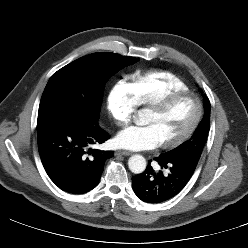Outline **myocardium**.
I'll list each match as a JSON object with an SVG mask.
<instances>
[{
    "label": "myocardium",
    "instance_id": "myocardium-1",
    "mask_svg": "<svg viewBox=\"0 0 248 248\" xmlns=\"http://www.w3.org/2000/svg\"><path fill=\"white\" fill-rule=\"evenodd\" d=\"M185 97L193 98L196 103V113L193 118V121L191 122L190 126L179 137L172 139V140L161 142L160 146L162 148L177 147L181 145L182 143H184L186 140H188L192 136V134L197 129L201 121L202 115H203V102L201 98L193 92L175 91V92H171V93H168L162 96L161 98H159L158 100H156L155 102H153L152 104L148 106V110L162 112L166 110L175 101L185 98Z\"/></svg>",
    "mask_w": 248,
    "mask_h": 248
}]
</instances>
